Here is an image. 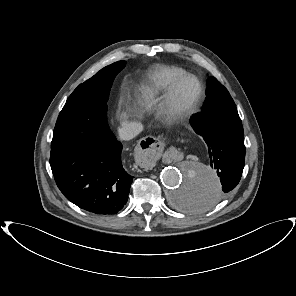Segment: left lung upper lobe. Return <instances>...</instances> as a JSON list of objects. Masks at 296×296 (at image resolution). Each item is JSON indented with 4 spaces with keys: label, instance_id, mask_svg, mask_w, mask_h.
Returning a JSON list of instances; mask_svg holds the SVG:
<instances>
[{
    "label": "left lung upper lobe",
    "instance_id": "5c2ea615",
    "mask_svg": "<svg viewBox=\"0 0 296 296\" xmlns=\"http://www.w3.org/2000/svg\"><path fill=\"white\" fill-rule=\"evenodd\" d=\"M222 94H229V92L216 78L211 77L206 90V100Z\"/></svg>",
    "mask_w": 296,
    "mask_h": 296
}]
</instances>
